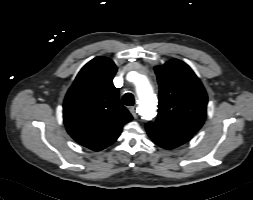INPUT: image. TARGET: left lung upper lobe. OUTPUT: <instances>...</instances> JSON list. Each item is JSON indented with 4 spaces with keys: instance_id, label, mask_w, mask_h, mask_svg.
<instances>
[{
    "instance_id": "5c2ea615",
    "label": "left lung upper lobe",
    "mask_w": 253,
    "mask_h": 200,
    "mask_svg": "<svg viewBox=\"0 0 253 200\" xmlns=\"http://www.w3.org/2000/svg\"><path fill=\"white\" fill-rule=\"evenodd\" d=\"M159 87L158 117L154 126L195 134L206 117L207 94L191 68L178 59L155 67Z\"/></svg>"
}]
</instances>
